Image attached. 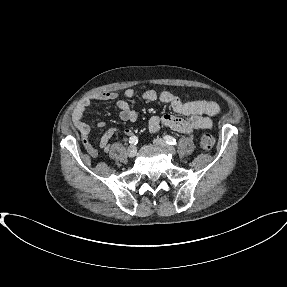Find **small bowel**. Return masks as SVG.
I'll list each match as a JSON object with an SVG mask.
<instances>
[{
    "label": "small bowel",
    "instance_id": "small-bowel-1",
    "mask_svg": "<svg viewBox=\"0 0 287 287\" xmlns=\"http://www.w3.org/2000/svg\"><path fill=\"white\" fill-rule=\"evenodd\" d=\"M125 97L132 98L135 96V92L132 89H127L124 92ZM118 94L115 92H98L87 98H85L73 111L72 121L76 129L81 133L83 137V143L87 152L96 156L97 151L87 142V137L90 134V126L84 121V112L95 100H115ZM142 97L146 101L159 100L162 103L168 104L172 110L178 114L186 116V118L177 117L174 115L166 114L164 116H152L148 121V128L150 132H157L162 127H168L174 131L190 134L195 130H210L213 126L211 117H214L220 113L219 105L211 100H193L181 98L175 96L169 91L157 92L155 90H147L142 94ZM117 108L119 110V117L126 122H135L138 118L137 113L131 109L129 103L126 100H118ZM99 128L105 126L104 121L97 123ZM116 129L111 128L107 130L100 138V148L107 150L110 139L115 135ZM133 132L131 129H125L126 135H131Z\"/></svg>",
    "mask_w": 287,
    "mask_h": 287
}]
</instances>
